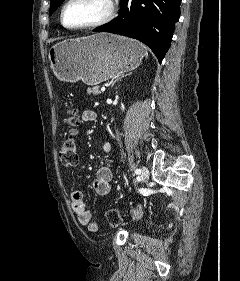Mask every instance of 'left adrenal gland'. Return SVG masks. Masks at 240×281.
Segmentation results:
<instances>
[{"instance_id": "a2214340", "label": "left adrenal gland", "mask_w": 240, "mask_h": 281, "mask_svg": "<svg viewBox=\"0 0 240 281\" xmlns=\"http://www.w3.org/2000/svg\"><path fill=\"white\" fill-rule=\"evenodd\" d=\"M129 75H131V73L126 74V75L118 76V77L112 82L111 87H113L114 84H115L117 81H120L122 78L127 77V76H129Z\"/></svg>"}]
</instances>
